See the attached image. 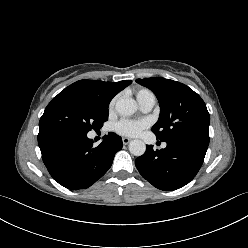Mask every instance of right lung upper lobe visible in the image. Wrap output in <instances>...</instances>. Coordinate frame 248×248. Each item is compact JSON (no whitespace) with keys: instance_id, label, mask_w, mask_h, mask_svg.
Returning a JSON list of instances; mask_svg holds the SVG:
<instances>
[{"instance_id":"1","label":"right lung upper lobe","mask_w":248,"mask_h":248,"mask_svg":"<svg viewBox=\"0 0 248 248\" xmlns=\"http://www.w3.org/2000/svg\"><path fill=\"white\" fill-rule=\"evenodd\" d=\"M131 82V80L115 83L99 80H79L66 87L60 93L77 96L98 108L105 109L109 107L112 98Z\"/></svg>"}]
</instances>
